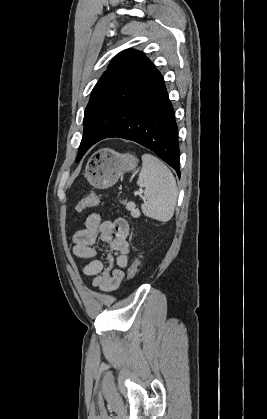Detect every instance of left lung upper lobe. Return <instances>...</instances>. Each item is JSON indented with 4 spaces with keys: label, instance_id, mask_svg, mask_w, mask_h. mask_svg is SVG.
<instances>
[{
    "label": "left lung upper lobe",
    "instance_id": "left-lung-upper-lobe-1",
    "mask_svg": "<svg viewBox=\"0 0 267 419\" xmlns=\"http://www.w3.org/2000/svg\"><path fill=\"white\" fill-rule=\"evenodd\" d=\"M158 73L151 61L140 51L127 49L115 56L91 92L84 112V131L77 162L88 150L90 134L93 137L98 130L105 128L110 115L126 110L138 92Z\"/></svg>",
    "mask_w": 267,
    "mask_h": 419
}]
</instances>
